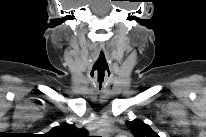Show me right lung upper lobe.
<instances>
[{"mask_svg":"<svg viewBox=\"0 0 206 137\" xmlns=\"http://www.w3.org/2000/svg\"><path fill=\"white\" fill-rule=\"evenodd\" d=\"M78 132L79 129L74 125L63 124L52 128L48 135L52 137H73L75 136L74 134H77Z\"/></svg>","mask_w":206,"mask_h":137,"instance_id":"cb5924a9","label":"right lung upper lobe"}]
</instances>
